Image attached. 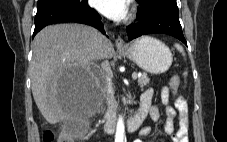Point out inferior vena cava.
<instances>
[{
    "label": "inferior vena cava",
    "mask_w": 227,
    "mask_h": 142,
    "mask_svg": "<svg viewBox=\"0 0 227 142\" xmlns=\"http://www.w3.org/2000/svg\"><path fill=\"white\" fill-rule=\"evenodd\" d=\"M104 39V36L95 30L94 32V38H93V45L95 50L98 52V54L102 51V41ZM103 68L106 69L107 65H103Z\"/></svg>",
    "instance_id": "obj_1"
}]
</instances>
